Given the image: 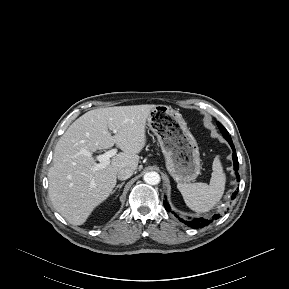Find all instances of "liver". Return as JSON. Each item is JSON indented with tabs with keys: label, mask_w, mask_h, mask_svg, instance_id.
Segmentation results:
<instances>
[{
	"label": "liver",
	"mask_w": 289,
	"mask_h": 289,
	"mask_svg": "<svg viewBox=\"0 0 289 289\" xmlns=\"http://www.w3.org/2000/svg\"><path fill=\"white\" fill-rule=\"evenodd\" d=\"M155 105L99 108L74 121L58 140L53 165L48 171V195L58 213L69 223L82 225L92 211L108 198L123 168L137 169L138 154L146 144V122ZM116 131L115 135L109 132ZM116 146L122 152L97 171L95 152Z\"/></svg>",
	"instance_id": "obj_1"
}]
</instances>
